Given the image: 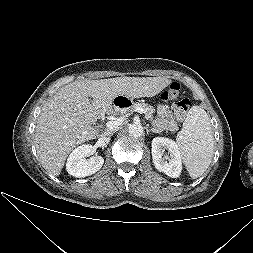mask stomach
Segmentation results:
<instances>
[{"label":"stomach","mask_w":253,"mask_h":253,"mask_svg":"<svg viewBox=\"0 0 253 253\" xmlns=\"http://www.w3.org/2000/svg\"><path fill=\"white\" fill-rule=\"evenodd\" d=\"M135 106V101L128 95H118L112 101V108L120 114H128Z\"/></svg>","instance_id":"0dacf381"}]
</instances>
